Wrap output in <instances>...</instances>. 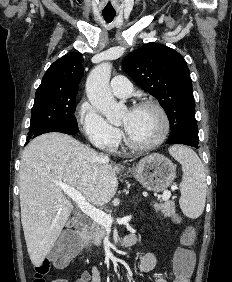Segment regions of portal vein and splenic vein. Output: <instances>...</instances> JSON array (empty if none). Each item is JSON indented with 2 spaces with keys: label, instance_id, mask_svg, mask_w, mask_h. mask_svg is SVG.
Instances as JSON below:
<instances>
[{
  "label": "portal vein and splenic vein",
  "instance_id": "obj_1",
  "mask_svg": "<svg viewBox=\"0 0 232 282\" xmlns=\"http://www.w3.org/2000/svg\"><path fill=\"white\" fill-rule=\"evenodd\" d=\"M58 186L63 190V192L70 197L77 205L78 207L85 213L87 216H89L93 221L103 225L104 227H111L113 224V218L111 215L95 208L91 204H89L85 197L75 188L70 187L65 184H58ZM171 197L170 191H165L162 194V200L167 201ZM132 216H125L123 218L117 219L118 224H126L131 220Z\"/></svg>",
  "mask_w": 232,
  "mask_h": 282
}]
</instances>
